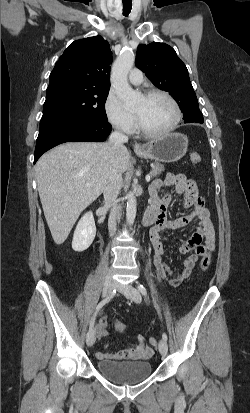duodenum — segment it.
<instances>
[{"label":"duodenum","mask_w":250,"mask_h":413,"mask_svg":"<svg viewBox=\"0 0 250 413\" xmlns=\"http://www.w3.org/2000/svg\"><path fill=\"white\" fill-rule=\"evenodd\" d=\"M156 218H157L156 209L149 207L143 215L142 224L144 226H149L156 220Z\"/></svg>","instance_id":"duodenum-1"}]
</instances>
